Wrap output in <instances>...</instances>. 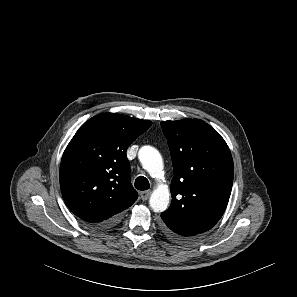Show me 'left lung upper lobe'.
<instances>
[{"label": "left lung upper lobe", "instance_id": "5c2ea615", "mask_svg": "<svg viewBox=\"0 0 297 297\" xmlns=\"http://www.w3.org/2000/svg\"><path fill=\"white\" fill-rule=\"evenodd\" d=\"M174 177L172 202L162 224L182 240L211 229L222 217L231 194L234 166L224 139L206 122H161Z\"/></svg>", "mask_w": 297, "mask_h": 297}]
</instances>
